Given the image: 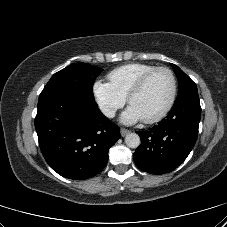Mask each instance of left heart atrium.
Masks as SVG:
<instances>
[{"instance_id": "left-heart-atrium-1", "label": "left heart atrium", "mask_w": 227, "mask_h": 227, "mask_svg": "<svg viewBox=\"0 0 227 227\" xmlns=\"http://www.w3.org/2000/svg\"><path fill=\"white\" fill-rule=\"evenodd\" d=\"M121 120L126 124H131L142 120V118L132 106H129L127 110L122 114Z\"/></svg>"}]
</instances>
